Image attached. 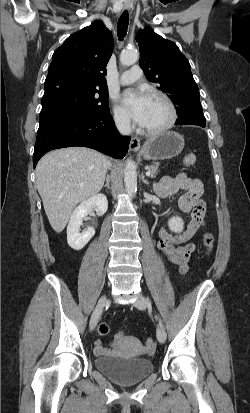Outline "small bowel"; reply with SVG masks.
I'll return each mask as SVG.
<instances>
[{
  "label": "small bowel",
  "instance_id": "1",
  "mask_svg": "<svg viewBox=\"0 0 250 413\" xmlns=\"http://www.w3.org/2000/svg\"><path fill=\"white\" fill-rule=\"evenodd\" d=\"M155 193L161 198H170L179 191L184 194L179 198L178 205L182 212L189 213L187 229L180 234L168 233L165 229L159 230L157 247L163 257L171 264L178 266L179 273L185 274L196 245L190 239L202 229L205 224L206 207L201 199L203 186L199 179L189 177L185 173L176 176H166L154 184ZM130 343L138 351L143 347L136 338H121L118 343L112 342V348H104L98 341L94 348L97 356H114L122 352V345Z\"/></svg>",
  "mask_w": 250,
  "mask_h": 413
}]
</instances>
